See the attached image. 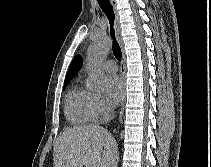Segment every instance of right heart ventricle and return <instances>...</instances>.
Wrapping results in <instances>:
<instances>
[{
  "label": "right heart ventricle",
  "mask_w": 211,
  "mask_h": 167,
  "mask_svg": "<svg viewBox=\"0 0 211 167\" xmlns=\"http://www.w3.org/2000/svg\"><path fill=\"white\" fill-rule=\"evenodd\" d=\"M91 93L81 84L76 83L67 93L65 113L67 119L74 124H86L94 120L91 110Z\"/></svg>",
  "instance_id": "obj_1"
}]
</instances>
